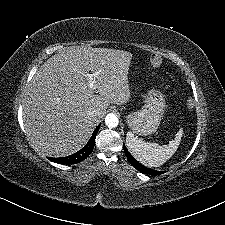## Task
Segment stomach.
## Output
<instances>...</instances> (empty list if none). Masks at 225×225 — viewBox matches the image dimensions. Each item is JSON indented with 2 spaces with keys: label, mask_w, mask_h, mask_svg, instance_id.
I'll return each instance as SVG.
<instances>
[{
  "label": "stomach",
  "mask_w": 225,
  "mask_h": 225,
  "mask_svg": "<svg viewBox=\"0 0 225 225\" xmlns=\"http://www.w3.org/2000/svg\"><path fill=\"white\" fill-rule=\"evenodd\" d=\"M164 107L165 102L161 94L151 93L140 110L127 115V124L135 134L143 136L151 135L159 127Z\"/></svg>",
  "instance_id": "obj_1"
}]
</instances>
